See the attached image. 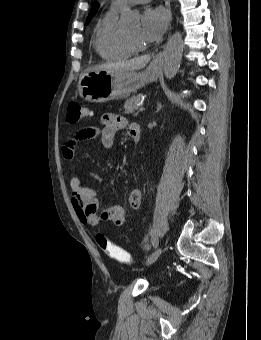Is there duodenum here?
Wrapping results in <instances>:
<instances>
[{"label": "duodenum", "mask_w": 261, "mask_h": 340, "mask_svg": "<svg viewBox=\"0 0 261 340\" xmlns=\"http://www.w3.org/2000/svg\"><path fill=\"white\" fill-rule=\"evenodd\" d=\"M135 139L138 140L139 139L138 136H136Z\"/></svg>", "instance_id": "obj_1"}]
</instances>
